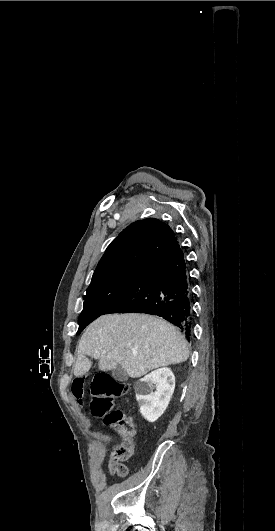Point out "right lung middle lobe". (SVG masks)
I'll return each mask as SVG.
<instances>
[{"label":"right lung middle lobe","instance_id":"right-lung-middle-lobe-1","mask_svg":"<svg viewBox=\"0 0 275 531\" xmlns=\"http://www.w3.org/2000/svg\"><path fill=\"white\" fill-rule=\"evenodd\" d=\"M144 266H132L114 271L91 281L84 297L77 334L97 317L103 315L139 278Z\"/></svg>","mask_w":275,"mask_h":531}]
</instances>
